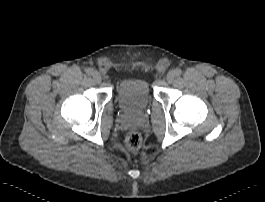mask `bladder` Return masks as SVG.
I'll use <instances>...</instances> for the list:
<instances>
[{
	"instance_id": "31cf9c89",
	"label": "bladder",
	"mask_w": 265,
	"mask_h": 202,
	"mask_svg": "<svg viewBox=\"0 0 265 202\" xmlns=\"http://www.w3.org/2000/svg\"><path fill=\"white\" fill-rule=\"evenodd\" d=\"M116 99L120 107L128 113L144 109L153 100L149 81L145 78L123 80L117 87Z\"/></svg>"
}]
</instances>
